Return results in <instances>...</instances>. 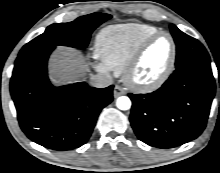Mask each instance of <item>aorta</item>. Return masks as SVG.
Here are the masks:
<instances>
[{"label": "aorta", "instance_id": "762f6f07", "mask_svg": "<svg viewBox=\"0 0 220 173\" xmlns=\"http://www.w3.org/2000/svg\"><path fill=\"white\" fill-rule=\"evenodd\" d=\"M116 106L120 110H129L131 108V100L127 96H121L117 99Z\"/></svg>", "mask_w": 220, "mask_h": 173}]
</instances>
